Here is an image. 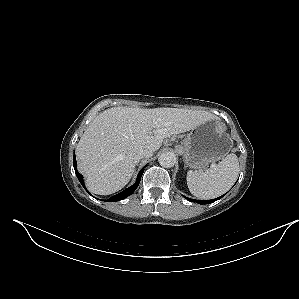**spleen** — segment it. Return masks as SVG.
<instances>
[{
  "instance_id": "1",
  "label": "spleen",
  "mask_w": 299,
  "mask_h": 299,
  "mask_svg": "<svg viewBox=\"0 0 299 299\" xmlns=\"http://www.w3.org/2000/svg\"><path fill=\"white\" fill-rule=\"evenodd\" d=\"M238 174L239 162L232 153L204 171L189 170L186 180L191 194L201 199H212L227 192L237 180Z\"/></svg>"
}]
</instances>
